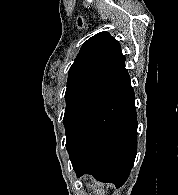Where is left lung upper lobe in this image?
I'll return each instance as SVG.
<instances>
[{
	"mask_svg": "<svg viewBox=\"0 0 178 195\" xmlns=\"http://www.w3.org/2000/svg\"><path fill=\"white\" fill-rule=\"evenodd\" d=\"M129 84L119 42L107 32L88 39L68 73L63 119L66 145Z\"/></svg>",
	"mask_w": 178,
	"mask_h": 195,
	"instance_id": "1",
	"label": "left lung upper lobe"
}]
</instances>
